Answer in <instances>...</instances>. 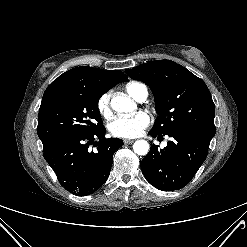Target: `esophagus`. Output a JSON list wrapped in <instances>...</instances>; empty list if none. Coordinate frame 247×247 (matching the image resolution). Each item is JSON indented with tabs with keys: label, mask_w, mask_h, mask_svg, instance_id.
Segmentation results:
<instances>
[{
	"label": "esophagus",
	"mask_w": 247,
	"mask_h": 247,
	"mask_svg": "<svg viewBox=\"0 0 247 247\" xmlns=\"http://www.w3.org/2000/svg\"><path fill=\"white\" fill-rule=\"evenodd\" d=\"M123 141H124V144H131L134 142V140L132 139H124Z\"/></svg>",
	"instance_id": "obj_1"
}]
</instances>
